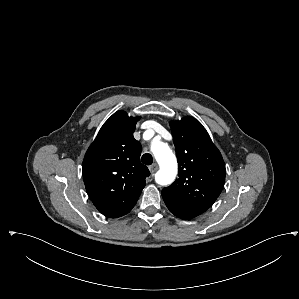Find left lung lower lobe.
<instances>
[{
  "mask_svg": "<svg viewBox=\"0 0 299 299\" xmlns=\"http://www.w3.org/2000/svg\"><path fill=\"white\" fill-rule=\"evenodd\" d=\"M163 196V200L167 206V208L170 210L171 213H173L175 216L181 218V219H185V220H189L192 219L196 216H198L199 214L179 205L178 203H176L175 201H173L171 198H169L168 196L162 195Z\"/></svg>",
  "mask_w": 299,
  "mask_h": 299,
  "instance_id": "1",
  "label": "left lung lower lobe"
}]
</instances>
